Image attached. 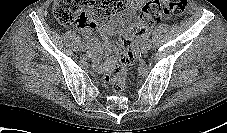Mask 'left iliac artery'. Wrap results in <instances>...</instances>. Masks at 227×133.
Returning <instances> with one entry per match:
<instances>
[{
    "label": "left iliac artery",
    "mask_w": 227,
    "mask_h": 133,
    "mask_svg": "<svg viewBox=\"0 0 227 133\" xmlns=\"http://www.w3.org/2000/svg\"><path fill=\"white\" fill-rule=\"evenodd\" d=\"M149 36H147V40H148ZM150 41V40H149ZM150 44H151V41H150Z\"/></svg>",
    "instance_id": "left-iliac-artery-1"
}]
</instances>
